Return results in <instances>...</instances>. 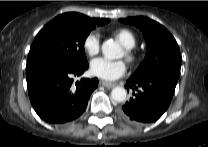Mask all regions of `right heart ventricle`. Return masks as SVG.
<instances>
[{
	"label": "right heart ventricle",
	"mask_w": 208,
	"mask_h": 147,
	"mask_svg": "<svg viewBox=\"0 0 208 147\" xmlns=\"http://www.w3.org/2000/svg\"><path fill=\"white\" fill-rule=\"evenodd\" d=\"M116 38L125 48H133L136 44V37L132 31L126 28L117 29L114 32Z\"/></svg>",
	"instance_id": "e07e8e85"
}]
</instances>
